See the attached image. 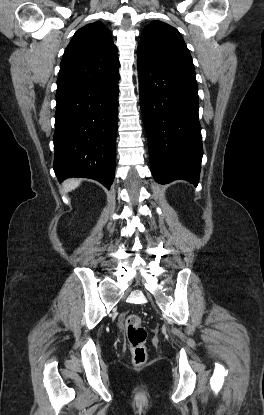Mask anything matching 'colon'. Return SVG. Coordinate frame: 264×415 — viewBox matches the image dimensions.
Returning <instances> with one entry per match:
<instances>
[{"instance_id":"obj_1","label":"colon","mask_w":264,"mask_h":415,"mask_svg":"<svg viewBox=\"0 0 264 415\" xmlns=\"http://www.w3.org/2000/svg\"><path fill=\"white\" fill-rule=\"evenodd\" d=\"M125 324L133 362L136 366H142L147 361L148 356L145 345L147 331L142 326L141 317L137 314H129L126 317Z\"/></svg>"}]
</instances>
